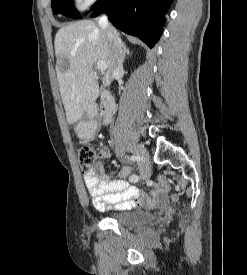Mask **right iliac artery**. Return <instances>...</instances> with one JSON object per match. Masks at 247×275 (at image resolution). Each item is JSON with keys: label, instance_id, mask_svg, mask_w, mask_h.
I'll return each instance as SVG.
<instances>
[{"label": "right iliac artery", "instance_id": "right-iliac-artery-1", "mask_svg": "<svg viewBox=\"0 0 247 275\" xmlns=\"http://www.w3.org/2000/svg\"><path fill=\"white\" fill-rule=\"evenodd\" d=\"M129 159H130V161L135 162V161H139L140 157L134 155V156H131ZM129 180H130V182L136 183V182H138L139 177L137 175L133 174L130 176Z\"/></svg>", "mask_w": 247, "mask_h": 275}]
</instances>
